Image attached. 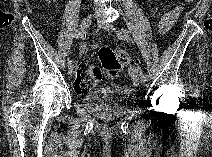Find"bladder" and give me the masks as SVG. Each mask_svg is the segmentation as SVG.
Wrapping results in <instances>:
<instances>
[{"label":"bladder","mask_w":212,"mask_h":157,"mask_svg":"<svg viewBox=\"0 0 212 157\" xmlns=\"http://www.w3.org/2000/svg\"><path fill=\"white\" fill-rule=\"evenodd\" d=\"M137 98V90L127 86H105L80 95L82 106L104 120L126 114Z\"/></svg>","instance_id":"31cf9c89"}]
</instances>
